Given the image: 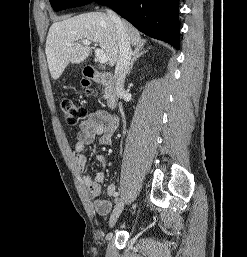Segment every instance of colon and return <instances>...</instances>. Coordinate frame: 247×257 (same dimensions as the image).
Masks as SVG:
<instances>
[{
	"label": "colon",
	"instance_id": "obj_1",
	"mask_svg": "<svg viewBox=\"0 0 247 257\" xmlns=\"http://www.w3.org/2000/svg\"><path fill=\"white\" fill-rule=\"evenodd\" d=\"M82 86L86 95L92 94L89 82L84 81ZM61 109L65 122L70 126H78L88 117L86 108L71 99H62Z\"/></svg>",
	"mask_w": 247,
	"mask_h": 257
}]
</instances>
